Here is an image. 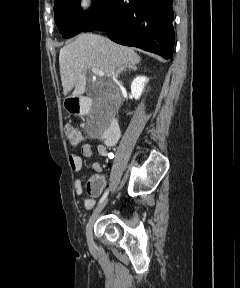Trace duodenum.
I'll use <instances>...</instances> for the list:
<instances>
[{
    "mask_svg": "<svg viewBox=\"0 0 240 288\" xmlns=\"http://www.w3.org/2000/svg\"><path fill=\"white\" fill-rule=\"evenodd\" d=\"M78 113H87L91 108V101L88 99H76ZM120 130L116 120H112L103 138L107 145H114L119 138Z\"/></svg>",
    "mask_w": 240,
    "mask_h": 288,
    "instance_id": "410a0bca",
    "label": "duodenum"
}]
</instances>
